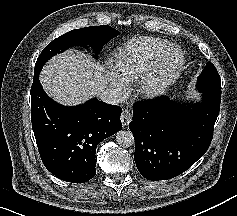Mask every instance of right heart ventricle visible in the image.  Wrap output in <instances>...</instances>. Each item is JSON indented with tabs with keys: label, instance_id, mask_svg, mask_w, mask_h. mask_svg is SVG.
I'll use <instances>...</instances> for the list:
<instances>
[{
	"label": "right heart ventricle",
	"instance_id": "obj_1",
	"mask_svg": "<svg viewBox=\"0 0 237 216\" xmlns=\"http://www.w3.org/2000/svg\"><path fill=\"white\" fill-rule=\"evenodd\" d=\"M169 43L158 37L142 36L113 49L108 55V66L120 83L136 84L149 68L160 50Z\"/></svg>",
	"mask_w": 237,
	"mask_h": 216
}]
</instances>
